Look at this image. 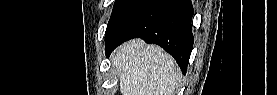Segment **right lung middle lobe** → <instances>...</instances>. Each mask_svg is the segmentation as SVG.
I'll return each mask as SVG.
<instances>
[{
  "label": "right lung middle lobe",
  "instance_id": "dd1d6c3e",
  "mask_svg": "<svg viewBox=\"0 0 277 95\" xmlns=\"http://www.w3.org/2000/svg\"><path fill=\"white\" fill-rule=\"evenodd\" d=\"M146 0H116L105 32V40Z\"/></svg>",
  "mask_w": 277,
  "mask_h": 95
}]
</instances>
